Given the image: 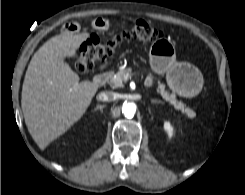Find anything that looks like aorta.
Segmentation results:
<instances>
[{
	"label": "aorta",
	"instance_id": "aorta-1",
	"mask_svg": "<svg viewBox=\"0 0 245 195\" xmlns=\"http://www.w3.org/2000/svg\"><path fill=\"white\" fill-rule=\"evenodd\" d=\"M136 104L134 103H125L122 107V113L127 118H132L136 112Z\"/></svg>",
	"mask_w": 245,
	"mask_h": 195
}]
</instances>
